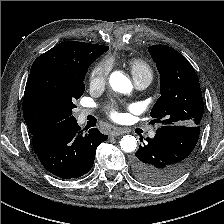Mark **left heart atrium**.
Returning a JSON list of instances; mask_svg holds the SVG:
<instances>
[{"instance_id":"left-heart-atrium-1","label":"left heart atrium","mask_w":224,"mask_h":224,"mask_svg":"<svg viewBox=\"0 0 224 224\" xmlns=\"http://www.w3.org/2000/svg\"><path fill=\"white\" fill-rule=\"evenodd\" d=\"M111 116H112V118L117 119L119 115H118V113H116L115 111H113L111 113Z\"/></svg>"}]
</instances>
